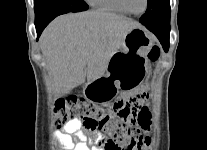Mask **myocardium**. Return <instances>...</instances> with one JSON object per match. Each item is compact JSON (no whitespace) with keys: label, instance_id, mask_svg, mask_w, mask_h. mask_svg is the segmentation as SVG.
<instances>
[{"label":"myocardium","instance_id":"myocardium-1","mask_svg":"<svg viewBox=\"0 0 207 150\" xmlns=\"http://www.w3.org/2000/svg\"><path fill=\"white\" fill-rule=\"evenodd\" d=\"M121 3L123 4V6L125 7V9L130 13V14H133V15H136V16H139V15H142L144 14L147 9H148V6H149V0H145V7L144 9L141 11V12H134L130 6H129V3H128V0H120Z\"/></svg>","mask_w":207,"mask_h":150}]
</instances>
